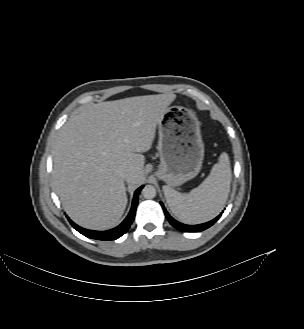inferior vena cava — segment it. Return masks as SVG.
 Returning a JSON list of instances; mask_svg holds the SVG:
<instances>
[{"label": "inferior vena cava", "instance_id": "1", "mask_svg": "<svg viewBox=\"0 0 304 329\" xmlns=\"http://www.w3.org/2000/svg\"><path fill=\"white\" fill-rule=\"evenodd\" d=\"M121 175L125 180H128L130 178V173L127 170H123Z\"/></svg>", "mask_w": 304, "mask_h": 329}]
</instances>
